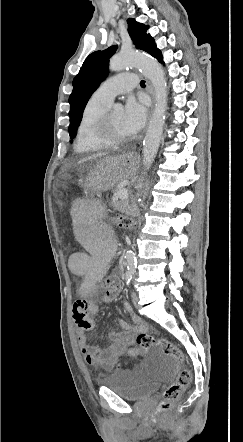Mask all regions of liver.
Returning <instances> with one entry per match:
<instances>
[{
    "label": "liver",
    "mask_w": 243,
    "mask_h": 442,
    "mask_svg": "<svg viewBox=\"0 0 243 442\" xmlns=\"http://www.w3.org/2000/svg\"><path fill=\"white\" fill-rule=\"evenodd\" d=\"M102 156H106V153H98V154L92 155V156H90V157H87V158H85V159H82L81 161H79V163H84V162H86V161H90V160H93V159H97V158H100V157H102Z\"/></svg>",
    "instance_id": "obj_1"
}]
</instances>
